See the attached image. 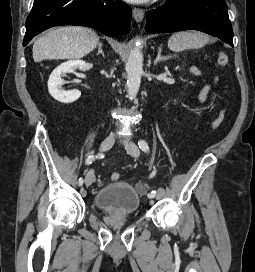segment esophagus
I'll return each mask as SVG.
<instances>
[{"label": "esophagus", "mask_w": 255, "mask_h": 272, "mask_svg": "<svg viewBox=\"0 0 255 272\" xmlns=\"http://www.w3.org/2000/svg\"><path fill=\"white\" fill-rule=\"evenodd\" d=\"M133 17L136 22H141L144 18V11L140 8L133 9Z\"/></svg>", "instance_id": "1"}]
</instances>
